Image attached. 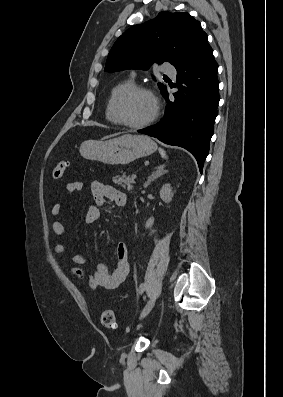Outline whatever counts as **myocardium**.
Wrapping results in <instances>:
<instances>
[{"label":"myocardium","instance_id":"myocardium-1","mask_svg":"<svg viewBox=\"0 0 283 397\" xmlns=\"http://www.w3.org/2000/svg\"><path fill=\"white\" fill-rule=\"evenodd\" d=\"M138 93H144L151 97L154 103V111L148 119L139 123H132L124 118L123 104L128 98ZM114 111L119 124L132 129H140L150 125L157 119L160 111V104L156 95L152 92V90H150L145 86L133 85L132 87L128 88L117 97L114 104Z\"/></svg>","mask_w":283,"mask_h":397}]
</instances>
